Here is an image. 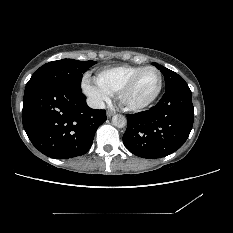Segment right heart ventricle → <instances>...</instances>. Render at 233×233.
Here are the masks:
<instances>
[{
	"label": "right heart ventricle",
	"instance_id": "1",
	"mask_svg": "<svg viewBox=\"0 0 233 233\" xmlns=\"http://www.w3.org/2000/svg\"><path fill=\"white\" fill-rule=\"evenodd\" d=\"M143 66L119 65L98 72L96 83L111 96L118 95L122 86Z\"/></svg>",
	"mask_w": 233,
	"mask_h": 233
}]
</instances>
